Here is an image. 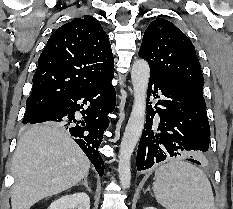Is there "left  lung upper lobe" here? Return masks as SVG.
<instances>
[{
    "mask_svg": "<svg viewBox=\"0 0 233 209\" xmlns=\"http://www.w3.org/2000/svg\"><path fill=\"white\" fill-rule=\"evenodd\" d=\"M139 56L149 63L150 72L182 83L204 98V78L195 48L170 21L160 18L150 23L144 32Z\"/></svg>",
    "mask_w": 233,
    "mask_h": 209,
    "instance_id": "1",
    "label": "left lung upper lobe"
}]
</instances>
